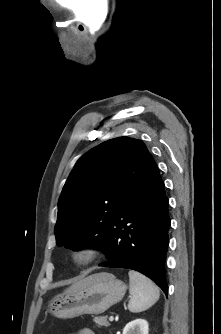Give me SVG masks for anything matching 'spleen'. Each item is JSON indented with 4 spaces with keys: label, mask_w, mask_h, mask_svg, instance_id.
Segmentation results:
<instances>
[{
    "label": "spleen",
    "mask_w": 221,
    "mask_h": 334,
    "mask_svg": "<svg viewBox=\"0 0 221 334\" xmlns=\"http://www.w3.org/2000/svg\"><path fill=\"white\" fill-rule=\"evenodd\" d=\"M128 275L131 295L128 303L129 311L139 313L149 309L160 297L159 288L150 279L137 271L130 270Z\"/></svg>",
    "instance_id": "1"
}]
</instances>
